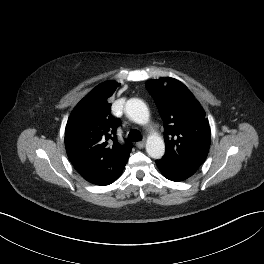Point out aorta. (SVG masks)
Instances as JSON below:
<instances>
[{
    "mask_svg": "<svg viewBox=\"0 0 264 264\" xmlns=\"http://www.w3.org/2000/svg\"><path fill=\"white\" fill-rule=\"evenodd\" d=\"M125 113L128 118L138 124H146L149 121L147 105L140 99L132 98L126 102ZM146 151L151 158L160 159L165 153V144L158 135H151L146 142Z\"/></svg>",
    "mask_w": 264,
    "mask_h": 264,
    "instance_id": "762f6f07",
    "label": "aorta"
}]
</instances>
